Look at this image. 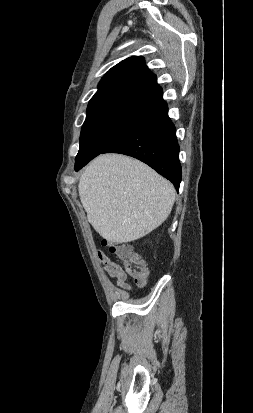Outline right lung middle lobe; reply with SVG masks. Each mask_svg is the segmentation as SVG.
<instances>
[{
  "mask_svg": "<svg viewBox=\"0 0 253 413\" xmlns=\"http://www.w3.org/2000/svg\"><path fill=\"white\" fill-rule=\"evenodd\" d=\"M148 118L129 113H107L86 118L81 130L75 167L103 153L140 127Z\"/></svg>",
  "mask_w": 253,
  "mask_h": 413,
  "instance_id": "obj_1",
  "label": "right lung middle lobe"
}]
</instances>
